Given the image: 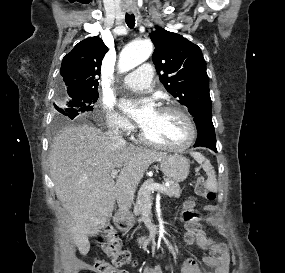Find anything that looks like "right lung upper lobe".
Here are the masks:
<instances>
[{"label": "right lung upper lobe", "instance_id": "1", "mask_svg": "<svg viewBox=\"0 0 285 273\" xmlns=\"http://www.w3.org/2000/svg\"><path fill=\"white\" fill-rule=\"evenodd\" d=\"M108 48L98 36L79 42L62 61L60 74L66 93L97 91L100 66Z\"/></svg>", "mask_w": 285, "mask_h": 273}]
</instances>
